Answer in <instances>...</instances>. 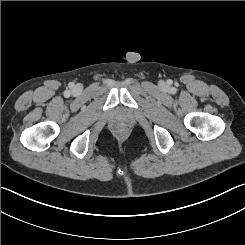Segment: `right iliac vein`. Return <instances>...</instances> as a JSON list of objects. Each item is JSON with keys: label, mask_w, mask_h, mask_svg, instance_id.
Instances as JSON below:
<instances>
[{"label": "right iliac vein", "mask_w": 245, "mask_h": 245, "mask_svg": "<svg viewBox=\"0 0 245 245\" xmlns=\"http://www.w3.org/2000/svg\"><path fill=\"white\" fill-rule=\"evenodd\" d=\"M74 91H75V92H79V91H80V87L76 86V87L74 88Z\"/></svg>", "instance_id": "right-iliac-vein-1"}]
</instances>
